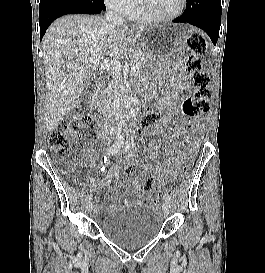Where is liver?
Wrapping results in <instances>:
<instances>
[{"label": "liver", "instance_id": "liver-1", "mask_svg": "<svg viewBox=\"0 0 265 273\" xmlns=\"http://www.w3.org/2000/svg\"><path fill=\"white\" fill-rule=\"evenodd\" d=\"M144 29V26H112L101 16L88 15H66L48 28L43 38L47 133L77 106L92 79L90 59H119Z\"/></svg>", "mask_w": 265, "mask_h": 273}]
</instances>
